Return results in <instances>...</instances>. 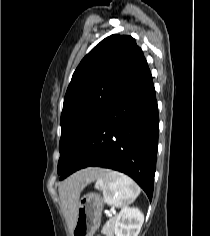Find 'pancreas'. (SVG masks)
<instances>
[{
	"label": "pancreas",
	"mask_w": 210,
	"mask_h": 236,
	"mask_svg": "<svg viewBox=\"0 0 210 236\" xmlns=\"http://www.w3.org/2000/svg\"><path fill=\"white\" fill-rule=\"evenodd\" d=\"M116 217H111L109 221L104 225L102 232L105 233L107 236H111V229L113 228L114 222Z\"/></svg>",
	"instance_id": "1"
}]
</instances>
